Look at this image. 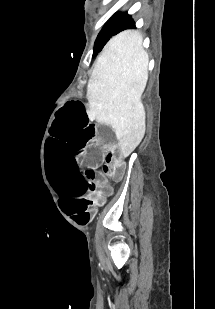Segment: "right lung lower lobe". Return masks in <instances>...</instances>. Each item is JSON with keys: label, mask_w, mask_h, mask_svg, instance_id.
Segmentation results:
<instances>
[{"label": "right lung lower lobe", "mask_w": 215, "mask_h": 309, "mask_svg": "<svg viewBox=\"0 0 215 309\" xmlns=\"http://www.w3.org/2000/svg\"><path fill=\"white\" fill-rule=\"evenodd\" d=\"M134 27H135V24H134L133 20L131 19V17L129 15H127V14H124V16H123V18L121 20L120 31H123L125 29H129V28H134Z\"/></svg>", "instance_id": "obj_1"}]
</instances>
